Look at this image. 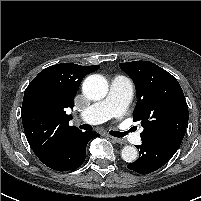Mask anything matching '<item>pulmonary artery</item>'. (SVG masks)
I'll return each mask as SVG.
<instances>
[{
	"mask_svg": "<svg viewBox=\"0 0 201 201\" xmlns=\"http://www.w3.org/2000/svg\"><path fill=\"white\" fill-rule=\"evenodd\" d=\"M133 95V85L125 76H115L110 83L109 93L106 98L97 102L76 116L87 124H99L111 118L121 117L128 107ZM139 134L129 137L133 143L140 142Z\"/></svg>",
	"mask_w": 201,
	"mask_h": 201,
	"instance_id": "obj_1",
	"label": "pulmonary artery"
}]
</instances>
